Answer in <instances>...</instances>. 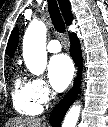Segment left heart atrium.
I'll return each instance as SVG.
<instances>
[{
	"instance_id": "left-heart-atrium-1",
	"label": "left heart atrium",
	"mask_w": 108,
	"mask_h": 127,
	"mask_svg": "<svg viewBox=\"0 0 108 127\" xmlns=\"http://www.w3.org/2000/svg\"><path fill=\"white\" fill-rule=\"evenodd\" d=\"M74 75V66L66 55L54 56L48 66L51 85L57 91H63L70 84Z\"/></svg>"
}]
</instances>
